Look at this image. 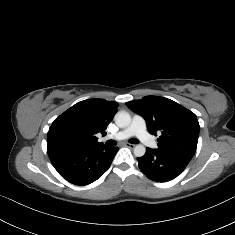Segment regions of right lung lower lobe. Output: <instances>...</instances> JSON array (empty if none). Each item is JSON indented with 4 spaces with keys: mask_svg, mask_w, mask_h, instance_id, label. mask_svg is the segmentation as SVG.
Wrapping results in <instances>:
<instances>
[{
    "mask_svg": "<svg viewBox=\"0 0 235 235\" xmlns=\"http://www.w3.org/2000/svg\"><path fill=\"white\" fill-rule=\"evenodd\" d=\"M118 147L48 146V155L57 172L76 185H87L102 176L111 165Z\"/></svg>",
    "mask_w": 235,
    "mask_h": 235,
    "instance_id": "right-lung-lower-lobe-1",
    "label": "right lung lower lobe"
}]
</instances>
